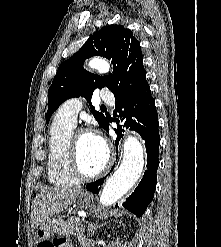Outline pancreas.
<instances>
[{"label": "pancreas", "instance_id": "1", "mask_svg": "<svg viewBox=\"0 0 221 247\" xmlns=\"http://www.w3.org/2000/svg\"><path fill=\"white\" fill-rule=\"evenodd\" d=\"M54 231L60 236H70L74 235L78 238V241L86 246V238L84 236V229L80 223V219L77 217H71L67 220L59 219L54 225Z\"/></svg>", "mask_w": 221, "mask_h": 247}]
</instances>
